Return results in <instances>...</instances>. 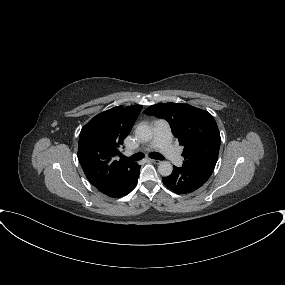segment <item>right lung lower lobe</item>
Masks as SVG:
<instances>
[{
  "label": "right lung lower lobe",
  "instance_id": "obj_1",
  "mask_svg": "<svg viewBox=\"0 0 285 285\" xmlns=\"http://www.w3.org/2000/svg\"><path fill=\"white\" fill-rule=\"evenodd\" d=\"M140 166L136 165L126 176L117 182L99 189L107 196L119 198L130 193L138 182Z\"/></svg>",
  "mask_w": 285,
  "mask_h": 285
}]
</instances>
